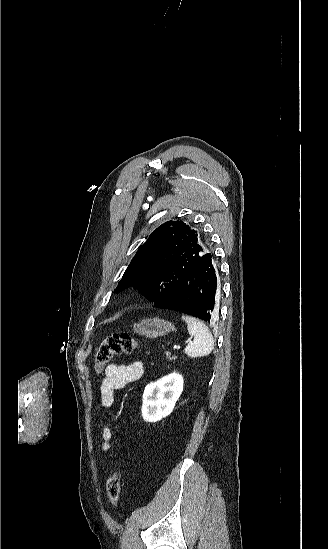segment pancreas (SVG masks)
Here are the masks:
<instances>
[{
    "instance_id": "1",
    "label": "pancreas",
    "mask_w": 328,
    "mask_h": 549,
    "mask_svg": "<svg viewBox=\"0 0 328 549\" xmlns=\"http://www.w3.org/2000/svg\"><path fill=\"white\" fill-rule=\"evenodd\" d=\"M166 359H168V361H174V359H177V357H175V355H173V357H171V353H166Z\"/></svg>"
}]
</instances>
